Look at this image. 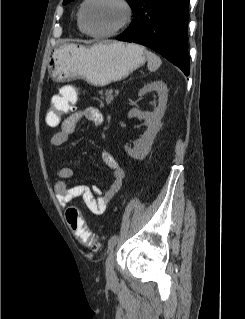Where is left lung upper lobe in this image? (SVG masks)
Segmentation results:
<instances>
[{"label":"left lung upper lobe","mask_w":245,"mask_h":319,"mask_svg":"<svg viewBox=\"0 0 245 319\" xmlns=\"http://www.w3.org/2000/svg\"><path fill=\"white\" fill-rule=\"evenodd\" d=\"M71 1L72 0H64L63 4L65 5V4H67V3L71 2ZM126 1L129 3V5H130V7L132 8V11H133L135 9V6L137 5L139 0H126Z\"/></svg>","instance_id":"1"}]
</instances>
